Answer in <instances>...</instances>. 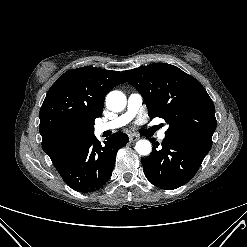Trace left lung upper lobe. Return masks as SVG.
Here are the masks:
<instances>
[{
	"label": "left lung upper lobe",
	"instance_id": "obj_1",
	"mask_svg": "<svg viewBox=\"0 0 247 247\" xmlns=\"http://www.w3.org/2000/svg\"><path fill=\"white\" fill-rule=\"evenodd\" d=\"M122 73L144 96L148 115L161 117L169 124L165 137L187 141L210 151L216 129L215 108L199 81L167 63Z\"/></svg>",
	"mask_w": 247,
	"mask_h": 247
}]
</instances>
